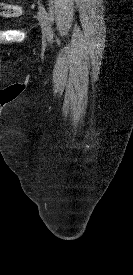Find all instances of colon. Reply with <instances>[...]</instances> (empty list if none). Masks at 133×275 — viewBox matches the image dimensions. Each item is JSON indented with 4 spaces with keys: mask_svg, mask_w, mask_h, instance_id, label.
<instances>
[{
    "mask_svg": "<svg viewBox=\"0 0 133 275\" xmlns=\"http://www.w3.org/2000/svg\"><path fill=\"white\" fill-rule=\"evenodd\" d=\"M22 12V9L18 5L0 3V16H18Z\"/></svg>",
    "mask_w": 133,
    "mask_h": 275,
    "instance_id": "colon-1",
    "label": "colon"
}]
</instances>
